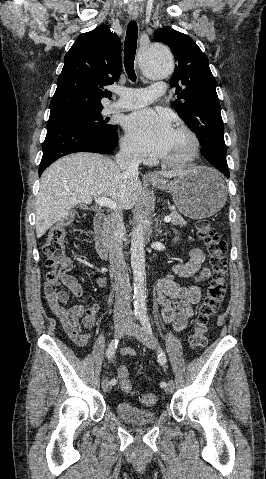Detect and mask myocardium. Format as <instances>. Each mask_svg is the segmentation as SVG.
<instances>
[{
  "instance_id": "myocardium-1",
  "label": "myocardium",
  "mask_w": 266,
  "mask_h": 479,
  "mask_svg": "<svg viewBox=\"0 0 266 479\" xmlns=\"http://www.w3.org/2000/svg\"><path fill=\"white\" fill-rule=\"evenodd\" d=\"M175 132L184 135L188 139L187 147L176 156L163 158L162 164L170 167H183L191 163L199 153L200 141L197 135L185 126L178 127Z\"/></svg>"
}]
</instances>
